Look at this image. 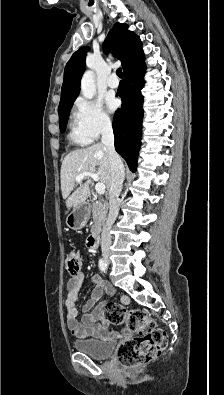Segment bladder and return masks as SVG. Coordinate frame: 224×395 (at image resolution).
Returning a JSON list of instances; mask_svg holds the SVG:
<instances>
[{
  "label": "bladder",
  "mask_w": 224,
  "mask_h": 395,
  "mask_svg": "<svg viewBox=\"0 0 224 395\" xmlns=\"http://www.w3.org/2000/svg\"><path fill=\"white\" fill-rule=\"evenodd\" d=\"M75 349L96 360H103L111 356L115 343L97 339H77L73 342Z\"/></svg>",
  "instance_id": "31cf9c89"
}]
</instances>
